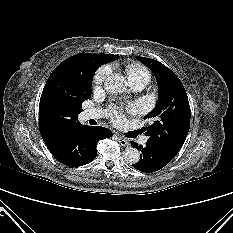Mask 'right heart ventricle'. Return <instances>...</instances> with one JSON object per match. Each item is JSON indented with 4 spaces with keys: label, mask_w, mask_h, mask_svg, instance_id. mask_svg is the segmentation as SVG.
Wrapping results in <instances>:
<instances>
[{
    "label": "right heart ventricle",
    "mask_w": 233,
    "mask_h": 233,
    "mask_svg": "<svg viewBox=\"0 0 233 233\" xmlns=\"http://www.w3.org/2000/svg\"><path fill=\"white\" fill-rule=\"evenodd\" d=\"M129 81H141L147 84L150 80L149 71L141 65H130L126 68Z\"/></svg>",
    "instance_id": "e07e8e85"
}]
</instances>
